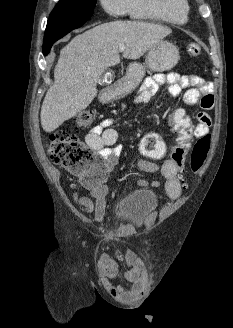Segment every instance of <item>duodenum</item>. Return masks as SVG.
Segmentation results:
<instances>
[{"mask_svg":"<svg viewBox=\"0 0 233 328\" xmlns=\"http://www.w3.org/2000/svg\"><path fill=\"white\" fill-rule=\"evenodd\" d=\"M114 96V90L112 88H105L101 93V99L103 101H109Z\"/></svg>","mask_w":233,"mask_h":328,"instance_id":"obj_1","label":"duodenum"}]
</instances>
